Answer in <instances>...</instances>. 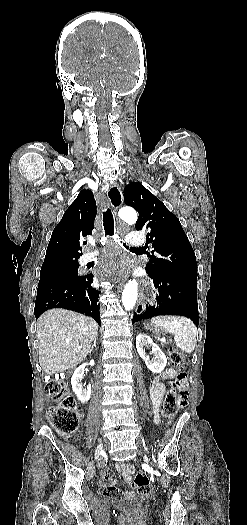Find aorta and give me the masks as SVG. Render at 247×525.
Instances as JSON below:
<instances>
[{
	"instance_id": "762f6f07",
	"label": "aorta",
	"mask_w": 247,
	"mask_h": 525,
	"mask_svg": "<svg viewBox=\"0 0 247 525\" xmlns=\"http://www.w3.org/2000/svg\"><path fill=\"white\" fill-rule=\"evenodd\" d=\"M118 215L123 221L129 224H134L137 221V213L130 207L121 208ZM137 296L138 283L135 280H129L122 293V303L126 310H132L134 308Z\"/></svg>"
}]
</instances>
